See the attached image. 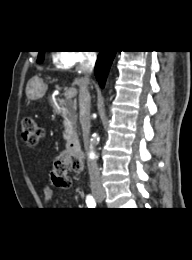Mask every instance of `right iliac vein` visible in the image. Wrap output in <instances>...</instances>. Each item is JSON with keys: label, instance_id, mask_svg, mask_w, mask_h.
I'll return each instance as SVG.
<instances>
[{"label": "right iliac vein", "instance_id": "63e3f726", "mask_svg": "<svg viewBox=\"0 0 192 260\" xmlns=\"http://www.w3.org/2000/svg\"><path fill=\"white\" fill-rule=\"evenodd\" d=\"M94 196L98 199H101L104 197V193L103 192H95L94 193Z\"/></svg>", "mask_w": 192, "mask_h": 260}]
</instances>
